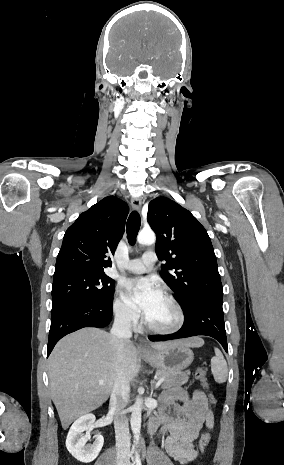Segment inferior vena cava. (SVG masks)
<instances>
[{"instance_id":"602c4592","label":"inferior vena cava","mask_w":284,"mask_h":465,"mask_svg":"<svg viewBox=\"0 0 284 465\" xmlns=\"http://www.w3.org/2000/svg\"><path fill=\"white\" fill-rule=\"evenodd\" d=\"M131 321L132 315H129V313L116 315L114 325L111 329L112 337H116L119 341H128V339H131ZM121 349L122 347H120L119 351ZM119 361H122L121 353ZM129 393V381H127L123 371H118V377L114 383L109 405V415H113L114 419L117 453L116 465H130V437L125 411Z\"/></svg>"}]
</instances>
